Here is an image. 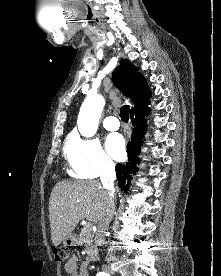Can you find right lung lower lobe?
I'll return each mask as SVG.
<instances>
[{
    "label": "right lung lower lobe",
    "mask_w": 221,
    "mask_h": 276,
    "mask_svg": "<svg viewBox=\"0 0 221 276\" xmlns=\"http://www.w3.org/2000/svg\"><path fill=\"white\" fill-rule=\"evenodd\" d=\"M149 112L150 109L146 106L141 110L130 113L133 130L131 141L127 145L128 162L125 165H116V175L119 187L124 192L129 190V183L132 175L138 171L136 164H139L140 162L138 154L140 153V146L143 142V135L146 131L147 120L145 117L148 116Z\"/></svg>",
    "instance_id": "obj_1"
}]
</instances>
